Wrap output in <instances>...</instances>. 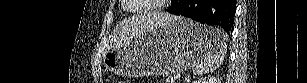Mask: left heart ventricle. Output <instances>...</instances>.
Segmentation results:
<instances>
[{
    "label": "left heart ventricle",
    "mask_w": 307,
    "mask_h": 83,
    "mask_svg": "<svg viewBox=\"0 0 307 83\" xmlns=\"http://www.w3.org/2000/svg\"><path fill=\"white\" fill-rule=\"evenodd\" d=\"M147 1H149V0H147ZM154 1V0H153ZM155 1H157V0H155ZM135 2V1H134ZM157 2H160V1H157ZM136 3H147V2H142V1H136ZM146 6H148L147 4H143V5H135V9H141V8H144V7H146Z\"/></svg>",
    "instance_id": "1"
}]
</instances>
